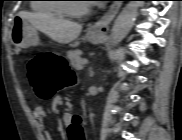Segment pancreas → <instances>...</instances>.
<instances>
[{"label":"pancreas","instance_id":"cf45deb5","mask_svg":"<svg viewBox=\"0 0 182 140\" xmlns=\"http://www.w3.org/2000/svg\"><path fill=\"white\" fill-rule=\"evenodd\" d=\"M81 54H82L81 50L69 51L67 53V57L69 58L71 65L76 69H80L83 66V64L81 63L82 62V59L80 57Z\"/></svg>","mask_w":182,"mask_h":140}]
</instances>
